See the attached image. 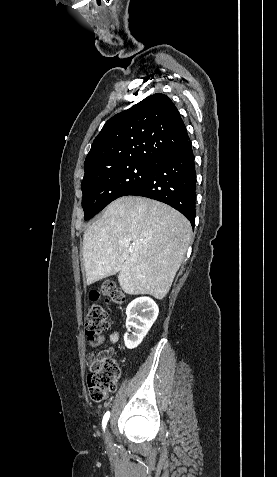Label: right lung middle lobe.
Returning <instances> with one entry per match:
<instances>
[{
  "label": "right lung middle lobe",
  "mask_w": 277,
  "mask_h": 477,
  "mask_svg": "<svg viewBox=\"0 0 277 477\" xmlns=\"http://www.w3.org/2000/svg\"><path fill=\"white\" fill-rule=\"evenodd\" d=\"M154 163L130 162L103 170L85 172L81 188L85 220L92 218L113 200L125 196L142 182Z\"/></svg>",
  "instance_id": "1"
}]
</instances>
